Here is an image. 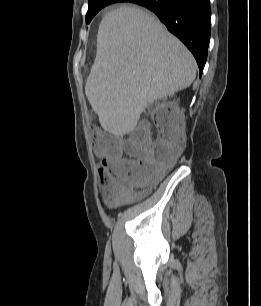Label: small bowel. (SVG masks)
<instances>
[{
    "mask_svg": "<svg viewBox=\"0 0 261 306\" xmlns=\"http://www.w3.org/2000/svg\"><path fill=\"white\" fill-rule=\"evenodd\" d=\"M124 158L126 157H121V159H124ZM111 165H112V162L110 161V158H105L100 163V167L104 168L105 170H109Z\"/></svg>",
    "mask_w": 261,
    "mask_h": 306,
    "instance_id": "small-bowel-1",
    "label": "small bowel"
}]
</instances>
